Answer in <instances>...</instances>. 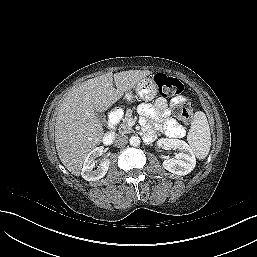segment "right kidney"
Masks as SVG:
<instances>
[{
    "mask_svg": "<svg viewBox=\"0 0 257 257\" xmlns=\"http://www.w3.org/2000/svg\"><path fill=\"white\" fill-rule=\"evenodd\" d=\"M102 146L96 147L88 153L84 160L83 168L81 171L82 177L87 181H96L105 176L109 169L110 160H105L100 163L97 169L95 168V159L102 155L104 150Z\"/></svg>",
    "mask_w": 257,
    "mask_h": 257,
    "instance_id": "ca27d5eb",
    "label": "right kidney"
}]
</instances>
